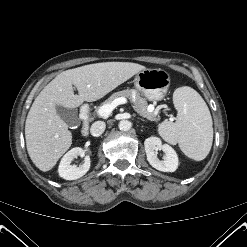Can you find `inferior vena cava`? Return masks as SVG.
Wrapping results in <instances>:
<instances>
[{
  "instance_id": "obj_1",
  "label": "inferior vena cava",
  "mask_w": 247,
  "mask_h": 247,
  "mask_svg": "<svg viewBox=\"0 0 247 247\" xmlns=\"http://www.w3.org/2000/svg\"><path fill=\"white\" fill-rule=\"evenodd\" d=\"M106 128V124L103 121H96L91 125L90 132L94 137L100 136Z\"/></svg>"
}]
</instances>
